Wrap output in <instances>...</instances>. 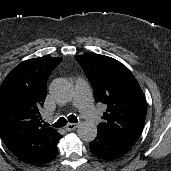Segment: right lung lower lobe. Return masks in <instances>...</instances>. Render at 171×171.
Segmentation results:
<instances>
[{
    "mask_svg": "<svg viewBox=\"0 0 171 171\" xmlns=\"http://www.w3.org/2000/svg\"><path fill=\"white\" fill-rule=\"evenodd\" d=\"M56 155H57V144L52 149V151L49 153V155L44 160H42L39 163H37L36 165H38V166L44 165V164L50 162L51 160H53L56 157Z\"/></svg>",
    "mask_w": 171,
    "mask_h": 171,
    "instance_id": "right-lung-lower-lobe-1",
    "label": "right lung lower lobe"
}]
</instances>
